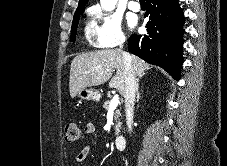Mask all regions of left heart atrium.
<instances>
[{"label": "left heart atrium", "instance_id": "obj_1", "mask_svg": "<svg viewBox=\"0 0 227 166\" xmlns=\"http://www.w3.org/2000/svg\"><path fill=\"white\" fill-rule=\"evenodd\" d=\"M133 25H134V22H131V23H130V26H133Z\"/></svg>", "mask_w": 227, "mask_h": 166}]
</instances>
